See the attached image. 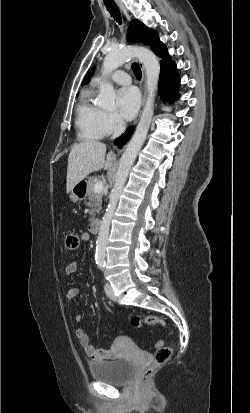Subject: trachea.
Returning a JSON list of instances; mask_svg holds the SVG:
<instances>
[{
    "mask_svg": "<svg viewBox=\"0 0 250 413\" xmlns=\"http://www.w3.org/2000/svg\"><path fill=\"white\" fill-rule=\"evenodd\" d=\"M105 6L114 20L121 24L122 18L118 6L115 3H105ZM131 68L136 78L140 80L142 76L140 65L138 63H133Z\"/></svg>",
    "mask_w": 250,
    "mask_h": 413,
    "instance_id": "obj_1",
    "label": "trachea"
}]
</instances>
